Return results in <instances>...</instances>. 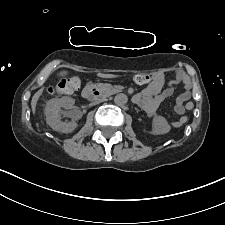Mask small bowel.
<instances>
[{"label": "small bowel", "instance_id": "1", "mask_svg": "<svg viewBox=\"0 0 225 225\" xmlns=\"http://www.w3.org/2000/svg\"><path fill=\"white\" fill-rule=\"evenodd\" d=\"M183 85V91L176 99L175 112L182 115L185 112L184 103L189 99L192 88L191 79L181 70L175 72L174 80L166 82L163 73H157L153 83L147 86L135 97L136 103L145 111L149 118L153 117L164 99L170 97L177 85ZM186 118L182 116L180 119ZM179 120L171 123L173 127L179 126Z\"/></svg>", "mask_w": 225, "mask_h": 225}]
</instances>
